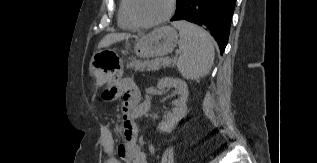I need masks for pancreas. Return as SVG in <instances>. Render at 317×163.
<instances>
[{"label":"pancreas","instance_id":"pancreas-1","mask_svg":"<svg viewBox=\"0 0 317 163\" xmlns=\"http://www.w3.org/2000/svg\"><path fill=\"white\" fill-rule=\"evenodd\" d=\"M167 59L156 58L153 60H133L126 65L127 68H131L134 71H151V70H159L162 66L166 67L170 65V62H166Z\"/></svg>","mask_w":317,"mask_h":163}]
</instances>
